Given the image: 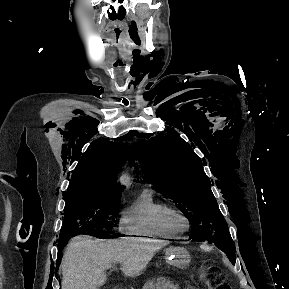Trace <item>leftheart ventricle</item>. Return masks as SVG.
Here are the masks:
<instances>
[{
    "label": "left heart ventricle",
    "mask_w": 289,
    "mask_h": 289,
    "mask_svg": "<svg viewBox=\"0 0 289 289\" xmlns=\"http://www.w3.org/2000/svg\"><path fill=\"white\" fill-rule=\"evenodd\" d=\"M170 222L172 227L176 230H182L186 226L185 221L179 216H172Z\"/></svg>",
    "instance_id": "left-heart-ventricle-1"
}]
</instances>
